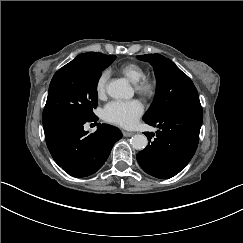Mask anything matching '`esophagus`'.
I'll return each mask as SVG.
<instances>
[{
	"instance_id": "obj_1",
	"label": "esophagus",
	"mask_w": 243,
	"mask_h": 243,
	"mask_svg": "<svg viewBox=\"0 0 243 243\" xmlns=\"http://www.w3.org/2000/svg\"><path fill=\"white\" fill-rule=\"evenodd\" d=\"M133 135H134L133 132L123 131V136H124V137H131V136H133Z\"/></svg>"
}]
</instances>
